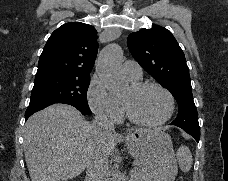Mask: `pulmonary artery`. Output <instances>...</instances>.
Listing matches in <instances>:
<instances>
[{"mask_svg": "<svg viewBox=\"0 0 228 181\" xmlns=\"http://www.w3.org/2000/svg\"><path fill=\"white\" fill-rule=\"evenodd\" d=\"M125 75L126 77L130 79H139L141 77V74L138 73L137 70H140L139 62H128V65L126 66Z\"/></svg>", "mask_w": 228, "mask_h": 181, "instance_id": "obj_1", "label": "pulmonary artery"}]
</instances>
